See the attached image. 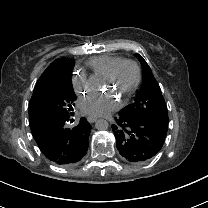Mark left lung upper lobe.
I'll return each mask as SVG.
<instances>
[{
  "label": "left lung upper lobe",
  "instance_id": "obj_1",
  "mask_svg": "<svg viewBox=\"0 0 208 208\" xmlns=\"http://www.w3.org/2000/svg\"><path fill=\"white\" fill-rule=\"evenodd\" d=\"M137 58L143 68V84L135 98V102L121 111L132 116L155 120L168 127L167 108L159 84L144 58L140 55H137Z\"/></svg>",
  "mask_w": 208,
  "mask_h": 208
}]
</instances>
